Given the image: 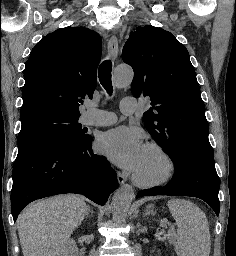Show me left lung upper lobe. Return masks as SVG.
I'll return each mask as SVG.
<instances>
[{"mask_svg":"<svg viewBox=\"0 0 236 256\" xmlns=\"http://www.w3.org/2000/svg\"><path fill=\"white\" fill-rule=\"evenodd\" d=\"M122 57L134 70L133 95L148 97L152 105L143 115L144 126L172 161L189 153L214 157L204 103L185 46L162 28L140 26L130 33Z\"/></svg>","mask_w":236,"mask_h":256,"instance_id":"obj_1","label":"left lung upper lobe"}]
</instances>
